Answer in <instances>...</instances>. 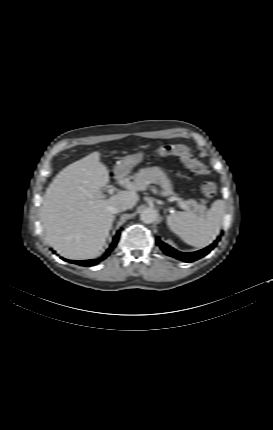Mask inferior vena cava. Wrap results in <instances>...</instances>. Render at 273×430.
I'll return each mask as SVG.
<instances>
[{
	"mask_svg": "<svg viewBox=\"0 0 273 430\" xmlns=\"http://www.w3.org/2000/svg\"><path fill=\"white\" fill-rule=\"evenodd\" d=\"M128 207L124 202H116L109 207V210L112 214H116L122 211L127 210Z\"/></svg>",
	"mask_w": 273,
	"mask_h": 430,
	"instance_id": "1",
	"label": "inferior vena cava"
}]
</instances>
